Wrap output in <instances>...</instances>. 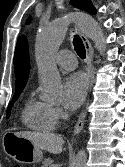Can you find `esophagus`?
Listing matches in <instances>:
<instances>
[{
	"instance_id": "34e87169",
	"label": "esophagus",
	"mask_w": 125,
	"mask_h": 167,
	"mask_svg": "<svg viewBox=\"0 0 125 167\" xmlns=\"http://www.w3.org/2000/svg\"><path fill=\"white\" fill-rule=\"evenodd\" d=\"M77 32H78L81 40L83 41V44H84V47L86 50V67H85V69H86L87 77L89 79V85H91L92 63H93V56H94L93 48H92V45H91L90 41L88 40V38L83 34V32L80 30L79 27H77ZM85 117H86V111L84 108L83 112L81 113V115H80V117L75 125L74 135L80 133V131L83 129Z\"/></svg>"
}]
</instances>
